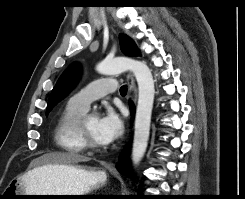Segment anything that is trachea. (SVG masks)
Returning <instances> with one entry per match:
<instances>
[{
	"label": "trachea",
	"mask_w": 245,
	"mask_h": 199,
	"mask_svg": "<svg viewBox=\"0 0 245 199\" xmlns=\"http://www.w3.org/2000/svg\"><path fill=\"white\" fill-rule=\"evenodd\" d=\"M120 94H121L122 96H125V95L127 94V86H126V85H124V86H122V87L120 88Z\"/></svg>",
	"instance_id": "1"
}]
</instances>
